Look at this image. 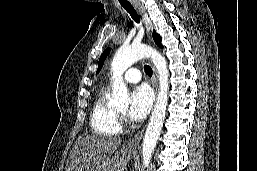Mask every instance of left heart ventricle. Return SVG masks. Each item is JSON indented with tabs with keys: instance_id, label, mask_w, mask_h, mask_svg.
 Listing matches in <instances>:
<instances>
[{
	"instance_id": "obj_1",
	"label": "left heart ventricle",
	"mask_w": 257,
	"mask_h": 171,
	"mask_svg": "<svg viewBox=\"0 0 257 171\" xmlns=\"http://www.w3.org/2000/svg\"><path fill=\"white\" fill-rule=\"evenodd\" d=\"M126 111H127L126 109H121V110H120V113L125 114V113H126Z\"/></svg>"
}]
</instances>
